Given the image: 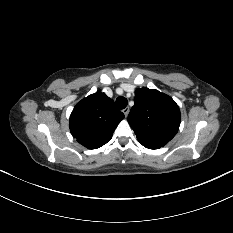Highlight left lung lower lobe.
I'll list each match as a JSON object with an SVG mask.
<instances>
[{"label": "left lung lower lobe", "instance_id": "0a47b994", "mask_svg": "<svg viewBox=\"0 0 233 233\" xmlns=\"http://www.w3.org/2000/svg\"><path fill=\"white\" fill-rule=\"evenodd\" d=\"M158 148H160V147H153V148H149V149H158Z\"/></svg>", "mask_w": 233, "mask_h": 233}]
</instances>
